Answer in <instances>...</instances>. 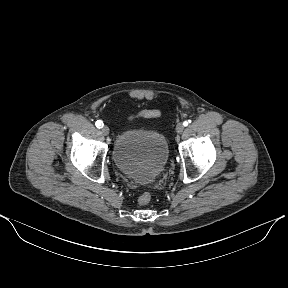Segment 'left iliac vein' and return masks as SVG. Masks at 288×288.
Masks as SVG:
<instances>
[{
  "label": "left iliac vein",
  "mask_w": 288,
  "mask_h": 288,
  "mask_svg": "<svg viewBox=\"0 0 288 288\" xmlns=\"http://www.w3.org/2000/svg\"><path fill=\"white\" fill-rule=\"evenodd\" d=\"M183 131H184V126H183V124H181V123L177 124V126H176V132H177L178 134H181Z\"/></svg>",
  "instance_id": "1"
}]
</instances>
